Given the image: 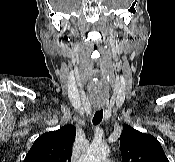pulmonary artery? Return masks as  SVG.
<instances>
[{"mask_svg":"<svg viewBox=\"0 0 175 162\" xmlns=\"http://www.w3.org/2000/svg\"><path fill=\"white\" fill-rule=\"evenodd\" d=\"M104 162H113V161H111V160H105Z\"/></svg>","mask_w":175,"mask_h":162,"instance_id":"obj_1","label":"pulmonary artery"}]
</instances>
